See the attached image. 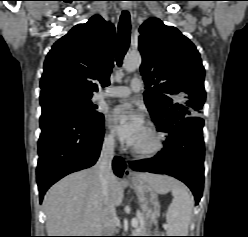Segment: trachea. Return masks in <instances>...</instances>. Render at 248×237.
I'll use <instances>...</instances> for the list:
<instances>
[{
    "label": "trachea",
    "mask_w": 248,
    "mask_h": 237,
    "mask_svg": "<svg viewBox=\"0 0 248 237\" xmlns=\"http://www.w3.org/2000/svg\"><path fill=\"white\" fill-rule=\"evenodd\" d=\"M131 35V21L128 11H123L118 25V46L116 50V62L118 66L122 65L124 55L126 54Z\"/></svg>",
    "instance_id": "obj_1"
}]
</instances>
